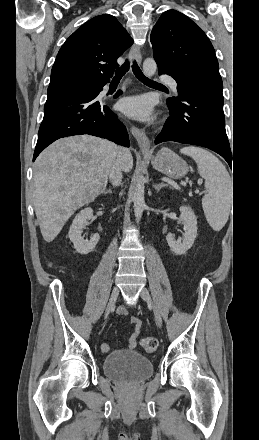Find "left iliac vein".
<instances>
[{
    "instance_id": "4c4485c4",
    "label": "left iliac vein",
    "mask_w": 259,
    "mask_h": 440,
    "mask_svg": "<svg viewBox=\"0 0 259 440\" xmlns=\"http://www.w3.org/2000/svg\"><path fill=\"white\" fill-rule=\"evenodd\" d=\"M140 296L148 304V306L153 310L156 323L158 324V326L161 327L162 326V318H161V315H160L158 309L155 307V305L151 299L149 291L146 288H142L140 291Z\"/></svg>"
}]
</instances>
